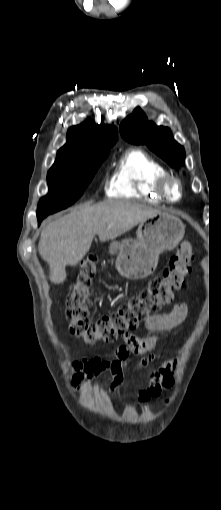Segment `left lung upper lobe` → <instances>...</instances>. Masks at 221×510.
Masks as SVG:
<instances>
[{
	"label": "left lung upper lobe",
	"mask_w": 221,
	"mask_h": 510,
	"mask_svg": "<svg viewBox=\"0 0 221 510\" xmlns=\"http://www.w3.org/2000/svg\"><path fill=\"white\" fill-rule=\"evenodd\" d=\"M121 136L132 144H144L172 167L184 165L185 150L172 137L169 128L148 122L137 107L120 125Z\"/></svg>",
	"instance_id": "1"
}]
</instances>
